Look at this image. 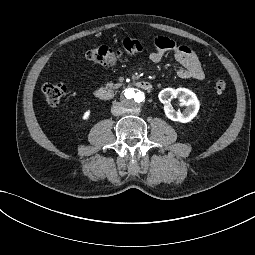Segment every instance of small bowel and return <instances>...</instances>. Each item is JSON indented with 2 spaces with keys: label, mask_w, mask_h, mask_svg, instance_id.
<instances>
[{
  "label": "small bowel",
  "mask_w": 255,
  "mask_h": 255,
  "mask_svg": "<svg viewBox=\"0 0 255 255\" xmlns=\"http://www.w3.org/2000/svg\"><path fill=\"white\" fill-rule=\"evenodd\" d=\"M155 49L150 53L149 58L153 63H159L167 53H172L175 60L181 65L177 71L178 77L182 79L202 80L205 77L202 65L189 47L178 45L168 37H157Z\"/></svg>",
  "instance_id": "small-bowel-1"
}]
</instances>
